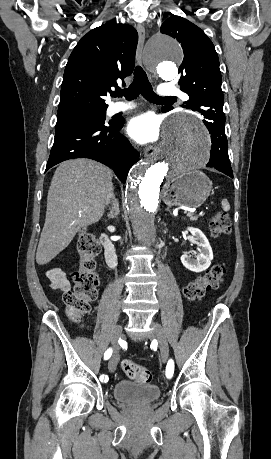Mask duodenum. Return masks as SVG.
Instances as JSON below:
<instances>
[{
	"label": "duodenum",
	"instance_id": "duodenum-1",
	"mask_svg": "<svg viewBox=\"0 0 271 459\" xmlns=\"http://www.w3.org/2000/svg\"><path fill=\"white\" fill-rule=\"evenodd\" d=\"M100 241L104 247V255L107 264L112 268L115 267L117 265V254L113 242L106 233L101 234Z\"/></svg>",
	"mask_w": 271,
	"mask_h": 459
}]
</instances>
